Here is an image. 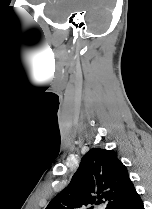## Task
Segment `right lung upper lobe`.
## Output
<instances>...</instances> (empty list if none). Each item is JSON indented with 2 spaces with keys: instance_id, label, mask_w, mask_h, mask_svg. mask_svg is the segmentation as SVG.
Returning a JSON list of instances; mask_svg holds the SVG:
<instances>
[{
  "instance_id": "1",
  "label": "right lung upper lobe",
  "mask_w": 152,
  "mask_h": 209,
  "mask_svg": "<svg viewBox=\"0 0 152 209\" xmlns=\"http://www.w3.org/2000/svg\"><path fill=\"white\" fill-rule=\"evenodd\" d=\"M133 187L126 167L113 150L93 148L81 160L69 185L46 209H83L103 197L110 209ZM88 209H93L91 206Z\"/></svg>"
}]
</instances>
